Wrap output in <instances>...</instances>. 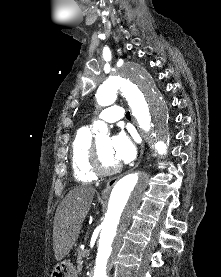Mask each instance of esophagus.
<instances>
[{
    "label": "esophagus",
    "instance_id": "obj_1",
    "mask_svg": "<svg viewBox=\"0 0 221 277\" xmlns=\"http://www.w3.org/2000/svg\"><path fill=\"white\" fill-rule=\"evenodd\" d=\"M143 153H144V145H142L141 152H140V158H139V161L137 162L135 167H137L139 165V163L142 159ZM118 179H119V177L112 178L107 182L105 188L101 191V198H107L108 197L112 187L116 184Z\"/></svg>",
    "mask_w": 221,
    "mask_h": 277
}]
</instances>
